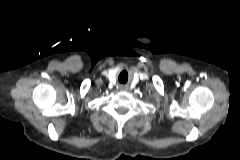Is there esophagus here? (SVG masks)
Instances as JSON below:
<instances>
[{"label":"esophagus","instance_id":"34e87169","mask_svg":"<svg viewBox=\"0 0 240 160\" xmlns=\"http://www.w3.org/2000/svg\"><path fill=\"white\" fill-rule=\"evenodd\" d=\"M121 89H122V90H124V89H125V87H123V86H122V87H121Z\"/></svg>","mask_w":240,"mask_h":160}]
</instances>
